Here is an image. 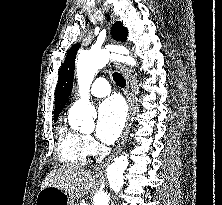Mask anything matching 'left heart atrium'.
Listing matches in <instances>:
<instances>
[{
  "mask_svg": "<svg viewBox=\"0 0 222 205\" xmlns=\"http://www.w3.org/2000/svg\"><path fill=\"white\" fill-rule=\"evenodd\" d=\"M126 121V108L118 97H111L98 108L96 135L104 143H113L120 136Z\"/></svg>",
  "mask_w": 222,
  "mask_h": 205,
  "instance_id": "1",
  "label": "left heart atrium"
}]
</instances>
